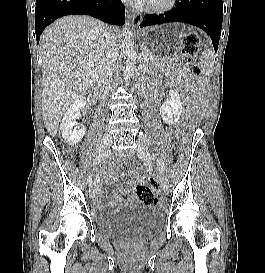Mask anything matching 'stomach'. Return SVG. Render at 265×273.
I'll return each mask as SVG.
<instances>
[{
	"instance_id": "0dacf381",
	"label": "stomach",
	"mask_w": 265,
	"mask_h": 273,
	"mask_svg": "<svg viewBox=\"0 0 265 273\" xmlns=\"http://www.w3.org/2000/svg\"><path fill=\"white\" fill-rule=\"evenodd\" d=\"M187 30H194V25H156L140 34L141 44H136V49H143V60L148 64H167L178 56V45H181Z\"/></svg>"
}]
</instances>
